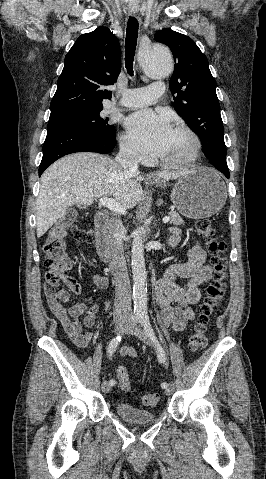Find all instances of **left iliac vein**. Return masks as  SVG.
<instances>
[{
	"label": "left iliac vein",
	"instance_id": "left-iliac-vein-1",
	"mask_svg": "<svg viewBox=\"0 0 266 479\" xmlns=\"http://www.w3.org/2000/svg\"><path fill=\"white\" fill-rule=\"evenodd\" d=\"M127 333L133 334L136 337H138L141 341H143L145 344H147L149 346H153V342H152L151 338H149L148 334L145 331H143L141 328H138V327L135 328V329L129 328L127 330ZM173 391H174V384L171 382L166 387L165 392H166L167 395H170V394L173 393Z\"/></svg>",
	"mask_w": 266,
	"mask_h": 479
}]
</instances>
